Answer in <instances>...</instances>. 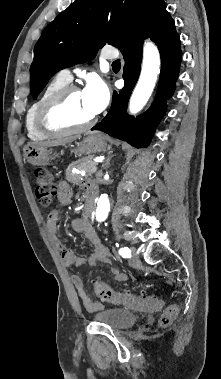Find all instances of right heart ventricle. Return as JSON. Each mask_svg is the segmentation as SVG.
Listing matches in <instances>:
<instances>
[{
	"label": "right heart ventricle",
	"mask_w": 221,
	"mask_h": 379,
	"mask_svg": "<svg viewBox=\"0 0 221 379\" xmlns=\"http://www.w3.org/2000/svg\"><path fill=\"white\" fill-rule=\"evenodd\" d=\"M67 85V82L63 81L59 77H55L50 81L39 97L31 104L26 114V131L30 139L35 141L45 140L50 135L42 132L37 124V113L43 102L54 92Z\"/></svg>",
	"instance_id": "1"
}]
</instances>
